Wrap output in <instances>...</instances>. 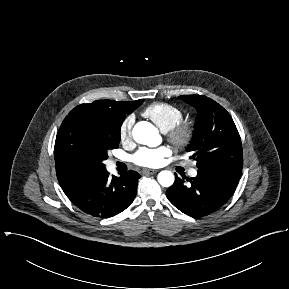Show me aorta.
<instances>
[{"label": "aorta", "mask_w": 289, "mask_h": 289, "mask_svg": "<svg viewBox=\"0 0 289 289\" xmlns=\"http://www.w3.org/2000/svg\"><path fill=\"white\" fill-rule=\"evenodd\" d=\"M132 135L139 144L157 146L160 142L157 129L146 121L138 122L132 130ZM157 180L163 187H170L173 185L175 177L171 171L163 170L158 174Z\"/></svg>", "instance_id": "762f6f07"}]
</instances>
